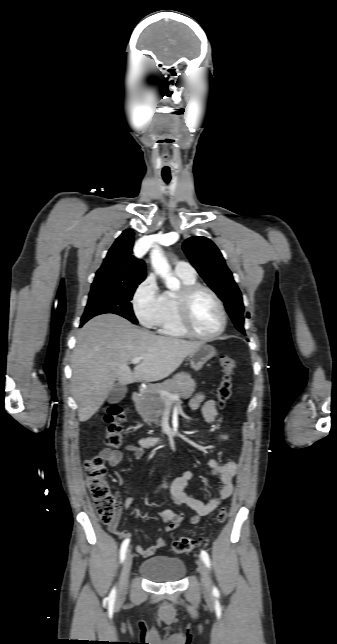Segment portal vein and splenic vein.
<instances>
[{"mask_svg": "<svg viewBox=\"0 0 337 644\" xmlns=\"http://www.w3.org/2000/svg\"><path fill=\"white\" fill-rule=\"evenodd\" d=\"M141 360H142L141 357H136V358H133L131 360V363L132 364H138V363L141 362ZM160 393H161L162 396H164L168 400L176 401V400H179V398H180V396L175 395V394H171V393H169L167 391H164V390H160Z\"/></svg>", "mask_w": 337, "mask_h": 644, "instance_id": "portal-vein-and-splenic-vein-1", "label": "portal vein and splenic vein"}]
</instances>
